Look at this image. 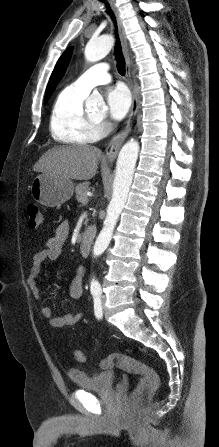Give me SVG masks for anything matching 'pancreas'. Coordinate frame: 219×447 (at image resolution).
I'll list each match as a JSON object with an SVG mask.
<instances>
[{"label": "pancreas", "mask_w": 219, "mask_h": 447, "mask_svg": "<svg viewBox=\"0 0 219 447\" xmlns=\"http://www.w3.org/2000/svg\"><path fill=\"white\" fill-rule=\"evenodd\" d=\"M89 185H90L89 182H83L76 186L75 193H76V199L78 202L82 203V200L84 198H87L86 192H87V190L90 189ZM83 204H86V203H83Z\"/></svg>", "instance_id": "1"}]
</instances>
